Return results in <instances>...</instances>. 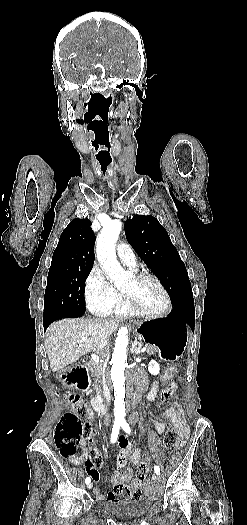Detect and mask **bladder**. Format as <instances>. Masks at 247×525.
Here are the masks:
<instances>
[{
    "instance_id": "31cf9c89",
    "label": "bladder",
    "mask_w": 247,
    "mask_h": 525,
    "mask_svg": "<svg viewBox=\"0 0 247 525\" xmlns=\"http://www.w3.org/2000/svg\"><path fill=\"white\" fill-rule=\"evenodd\" d=\"M155 503V498L144 496L137 498H126L119 501L105 503L106 511L118 518H137L149 513V509Z\"/></svg>"
}]
</instances>
